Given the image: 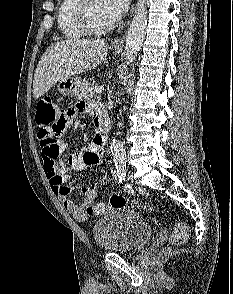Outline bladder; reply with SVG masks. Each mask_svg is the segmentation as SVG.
Segmentation results:
<instances>
[{
    "mask_svg": "<svg viewBox=\"0 0 233 294\" xmlns=\"http://www.w3.org/2000/svg\"><path fill=\"white\" fill-rule=\"evenodd\" d=\"M152 233L148 220L128 208H118L102 216L93 226L97 246L115 253L141 251L151 239Z\"/></svg>",
    "mask_w": 233,
    "mask_h": 294,
    "instance_id": "1",
    "label": "bladder"
}]
</instances>
